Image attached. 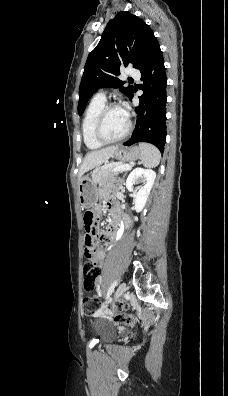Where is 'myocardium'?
Returning a JSON list of instances; mask_svg holds the SVG:
<instances>
[{
  "instance_id": "obj_1",
  "label": "myocardium",
  "mask_w": 228,
  "mask_h": 396,
  "mask_svg": "<svg viewBox=\"0 0 228 396\" xmlns=\"http://www.w3.org/2000/svg\"><path fill=\"white\" fill-rule=\"evenodd\" d=\"M114 108L122 109V107L117 103H108V104L104 105V107L101 109V111L98 113V115L96 117L95 125H94V135H95V138L102 144H111V143L119 142V141L125 139L131 132L132 122H131V119L127 116L128 117L127 128L122 135H120L116 138H107L104 135L103 125H104L105 117H106L107 113L111 109H114Z\"/></svg>"
}]
</instances>
